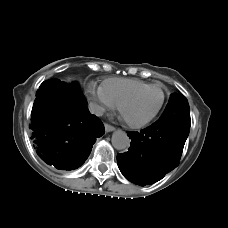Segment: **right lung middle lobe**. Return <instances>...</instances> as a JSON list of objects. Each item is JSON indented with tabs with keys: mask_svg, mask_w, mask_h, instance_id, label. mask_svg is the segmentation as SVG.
Masks as SVG:
<instances>
[{
	"mask_svg": "<svg viewBox=\"0 0 228 228\" xmlns=\"http://www.w3.org/2000/svg\"><path fill=\"white\" fill-rule=\"evenodd\" d=\"M50 81H51V82H58V81H60V80H58V79H50ZM63 83H64V82H63ZM66 85H67V84H66ZM67 87H68L69 90H70V95H71V96H74V95H76V94L79 92V90H78L79 86H78V84H76V83H74L73 86L67 85Z\"/></svg>",
	"mask_w": 228,
	"mask_h": 228,
	"instance_id": "obj_1",
	"label": "right lung middle lobe"
}]
</instances>
